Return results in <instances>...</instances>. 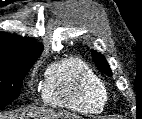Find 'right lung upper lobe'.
<instances>
[{
	"instance_id": "1",
	"label": "right lung upper lobe",
	"mask_w": 142,
	"mask_h": 119,
	"mask_svg": "<svg viewBox=\"0 0 142 119\" xmlns=\"http://www.w3.org/2000/svg\"><path fill=\"white\" fill-rule=\"evenodd\" d=\"M43 51V45L35 39L0 32V66L35 60Z\"/></svg>"
}]
</instances>
